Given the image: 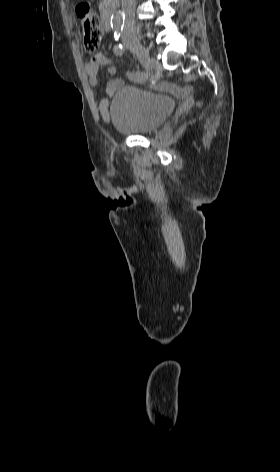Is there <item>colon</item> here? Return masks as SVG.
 Returning a JSON list of instances; mask_svg holds the SVG:
<instances>
[{
    "label": "colon",
    "mask_w": 280,
    "mask_h": 472,
    "mask_svg": "<svg viewBox=\"0 0 280 472\" xmlns=\"http://www.w3.org/2000/svg\"><path fill=\"white\" fill-rule=\"evenodd\" d=\"M76 15L82 28L84 48L87 52L93 53L97 50L103 35L99 18L86 2L76 6Z\"/></svg>",
    "instance_id": "colon-1"
}]
</instances>
